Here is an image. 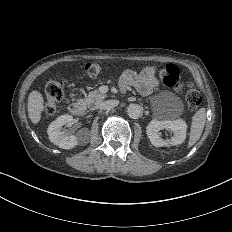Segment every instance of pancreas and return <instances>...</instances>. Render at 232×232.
<instances>
[{
    "mask_svg": "<svg viewBox=\"0 0 232 232\" xmlns=\"http://www.w3.org/2000/svg\"><path fill=\"white\" fill-rule=\"evenodd\" d=\"M105 97V94H102L98 91H93L89 93L88 96L85 97V99H81L79 101L83 102L84 105L89 109L94 110L99 107V105L102 103Z\"/></svg>",
    "mask_w": 232,
    "mask_h": 232,
    "instance_id": "1",
    "label": "pancreas"
}]
</instances>
